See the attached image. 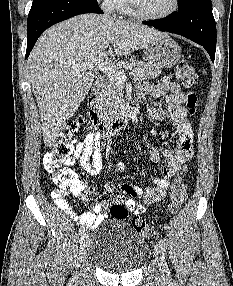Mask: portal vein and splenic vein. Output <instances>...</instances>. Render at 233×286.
<instances>
[{
  "label": "portal vein and splenic vein",
  "mask_w": 233,
  "mask_h": 286,
  "mask_svg": "<svg viewBox=\"0 0 233 286\" xmlns=\"http://www.w3.org/2000/svg\"><path fill=\"white\" fill-rule=\"evenodd\" d=\"M105 53H102L98 58L92 59L91 61L82 64L80 68L82 70L92 69L94 67L99 68L101 71L106 73L109 77L115 79L116 81L123 83L126 80L125 74L120 71L116 66L110 64L104 60Z\"/></svg>",
  "instance_id": "1"
}]
</instances>
